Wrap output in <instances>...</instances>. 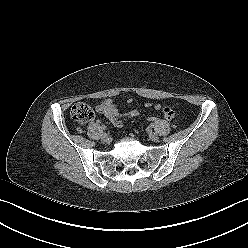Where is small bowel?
Listing matches in <instances>:
<instances>
[{
	"instance_id": "small-bowel-1",
	"label": "small bowel",
	"mask_w": 248,
	"mask_h": 248,
	"mask_svg": "<svg viewBox=\"0 0 248 248\" xmlns=\"http://www.w3.org/2000/svg\"><path fill=\"white\" fill-rule=\"evenodd\" d=\"M128 102L131 103L132 100L129 99ZM145 107H150L154 110H162L163 116L166 120H172L175 115L174 110L169 105L162 106L160 104L146 103ZM95 110L98 114L104 115L115 127H122L124 117L133 118L138 115L137 110H132L124 116L121 115L112 99L104 100L101 104L96 106Z\"/></svg>"
}]
</instances>
